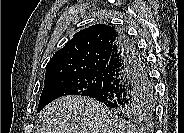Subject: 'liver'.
<instances>
[{"label":"liver","mask_w":184,"mask_h":133,"mask_svg":"<svg viewBox=\"0 0 184 133\" xmlns=\"http://www.w3.org/2000/svg\"><path fill=\"white\" fill-rule=\"evenodd\" d=\"M41 133H133L137 131L102 103L81 96L60 97L39 115Z\"/></svg>","instance_id":"liver-1"}]
</instances>
